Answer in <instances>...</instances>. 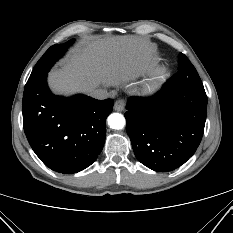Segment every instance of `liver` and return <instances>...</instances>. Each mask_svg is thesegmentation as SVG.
Returning a JSON list of instances; mask_svg holds the SVG:
<instances>
[{"label": "liver", "mask_w": 233, "mask_h": 233, "mask_svg": "<svg viewBox=\"0 0 233 233\" xmlns=\"http://www.w3.org/2000/svg\"><path fill=\"white\" fill-rule=\"evenodd\" d=\"M154 55L155 45L143 37L92 38L75 49L61 69L49 73V85L63 95L123 85L151 70Z\"/></svg>", "instance_id": "1"}]
</instances>
